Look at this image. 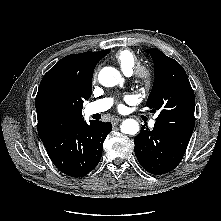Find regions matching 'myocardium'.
Masks as SVG:
<instances>
[{
	"mask_svg": "<svg viewBox=\"0 0 221 221\" xmlns=\"http://www.w3.org/2000/svg\"><path fill=\"white\" fill-rule=\"evenodd\" d=\"M134 76L140 85L146 89L150 88L154 83V73L146 66L138 65L134 70Z\"/></svg>",
	"mask_w": 221,
	"mask_h": 221,
	"instance_id": "myocardium-1",
	"label": "myocardium"
}]
</instances>
